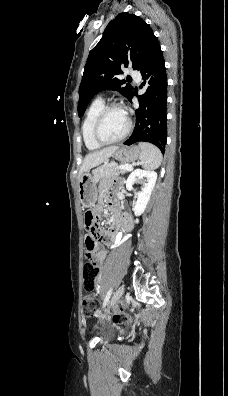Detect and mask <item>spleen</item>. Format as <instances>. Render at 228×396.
Returning a JSON list of instances; mask_svg holds the SVG:
<instances>
[{
  "label": "spleen",
  "instance_id": "1",
  "mask_svg": "<svg viewBox=\"0 0 228 396\" xmlns=\"http://www.w3.org/2000/svg\"><path fill=\"white\" fill-rule=\"evenodd\" d=\"M139 148L141 150L140 160L143 168L148 170L157 169L162 162L160 150L155 145L147 142H140Z\"/></svg>",
  "mask_w": 228,
  "mask_h": 396
}]
</instances>
